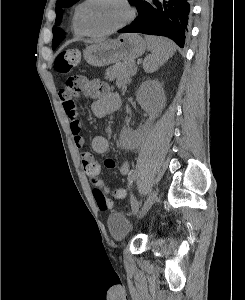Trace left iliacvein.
Masks as SVG:
<instances>
[{
    "mask_svg": "<svg viewBox=\"0 0 245 300\" xmlns=\"http://www.w3.org/2000/svg\"><path fill=\"white\" fill-rule=\"evenodd\" d=\"M157 198V191L156 190H153L147 200L145 201L141 211L139 212L138 214V218H142L143 216L146 215V213L149 211V209L152 207L153 203L155 202Z\"/></svg>",
    "mask_w": 245,
    "mask_h": 300,
    "instance_id": "4c4485c4",
    "label": "left iliac vein"
}]
</instances>
